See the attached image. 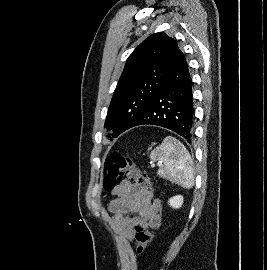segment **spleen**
I'll return each mask as SVG.
<instances>
[{
	"label": "spleen",
	"mask_w": 267,
	"mask_h": 270,
	"mask_svg": "<svg viewBox=\"0 0 267 270\" xmlns=\"http://www.w3.org/2000/svg\"><path fill=\"white\" fill-rule=\"evenodd\" d=\"M158 161V175L185 188L194 185L193 161L185 146L173 136H167L150 154Z\"/></svg>",
	"instance_id": "spleen-1"
}]
</instances>
